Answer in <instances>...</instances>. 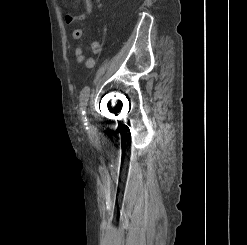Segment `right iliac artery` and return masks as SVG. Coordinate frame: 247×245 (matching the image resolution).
<instances>
[{
	"instance_id": "1",
	"label": "right iliac artery",
	"mask_w": 247,
	"mask_h": 245,
	"mask_svg": "<svg viewBox=\"0 0 247 245\" xmlns=\"http://www.w3.org/2000/svg\"><path fill=\"white\" fill-rule=\"evenodd\" d=\"M90 95V89L89 87H84L80 94V106H81V113H82V119L84 122V125H88L87 118L85 116V108L87 106L88 100Z\"/></svg>"
}]
</instances>
